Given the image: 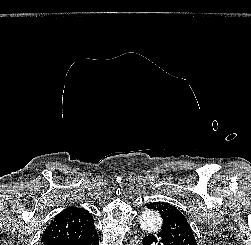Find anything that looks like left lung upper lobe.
<instances>
[{
    "instance_id": "1",
    "label": "left lung upper lobe",
    "mask_w": 251,
    "mask_h": 245,
    "mask_svg": "<svg viewBox=\"0 0 251 245\" xmlns=\"http://www.w3.org/2000/svg\"><path fill=\"white\" fill-rule=\"evenodd\" d=\"M148 209L157 210L163 218L162 230L180 245H197L192 229L185 216L174 206L166 202H153Z\"/></svg>"
}]
</instances>
